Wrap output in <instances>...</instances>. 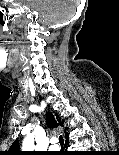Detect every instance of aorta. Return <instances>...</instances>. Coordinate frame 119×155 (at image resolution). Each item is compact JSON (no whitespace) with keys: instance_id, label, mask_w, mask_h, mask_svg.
Here are the masks:
<instances>
[{"instance_id":"762f6f07","label":"aorta","mask_w":119,"mask_h":155,"mask_svg":"<svg viewBox=\"0 0 119 155\" xmlns=\"http://www.w3.org/2000/svg\"><path fill=\"white\" fill-rule=\"evenodd\" d=\"M22 149L26 151H31L32 149H34V138L32 135H28L23 140Z\"/></svg>"}]
</instances>
